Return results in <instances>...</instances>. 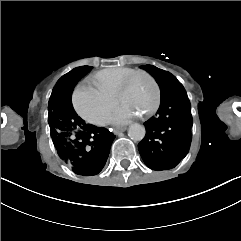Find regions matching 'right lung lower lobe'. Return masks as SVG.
<instances>
[{
  "mask_svg": "<svg viewBox=\"0 0 241 241\" xmlns=\"http://www.w3.org/2000/svg\"><path fill=\"white\" fill-rule=\"evenodd\" d=\"M90 70L89 66L73 69L67 78L68 90L72 92L77 82ZM62 113L66 136L55 144L58 155L78 175L98 174L107 161L115 136L105 128L86 124L74 109H63Z\"/></svg>",
  "mask_w": 241,
  "mask_h": 241,
  "instance_id": "right-lung-lower-lobe-1",
  "label": "right lung lower lobe"
}]
</instances>
